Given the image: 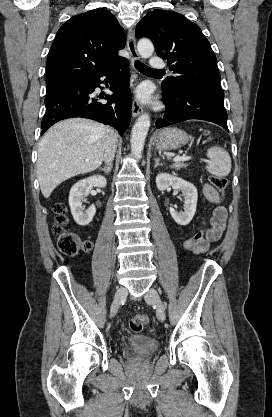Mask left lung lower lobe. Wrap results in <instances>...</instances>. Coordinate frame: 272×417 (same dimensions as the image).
<instances>
[{"mask_svg":"<svg viewBox=\"0 0 272 417\" xmlns=\"http://www.w3.org/2000/svg\"><path fill=\"white\" fill-rule=\"evenodd\" d=\"M162 90L167 110L165 116L156 121L157 129L189 119H201L216 123L228 131L223 101L187 88H180L175 92H169L163 87Z\"/></svg>","mask_w":272,"mask_h":417,"instance_id":"obj_1","label":"left lung lower lobe"}]
</instances>
